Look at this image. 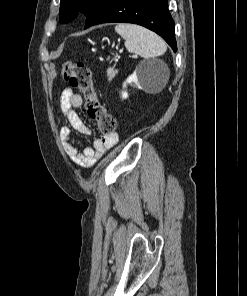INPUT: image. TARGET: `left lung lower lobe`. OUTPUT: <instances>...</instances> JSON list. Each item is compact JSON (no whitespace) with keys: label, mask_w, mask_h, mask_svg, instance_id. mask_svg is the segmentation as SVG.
<instances>
[{"label":"left lung lower lobe","mask_w":247,"mask_h":296,"mask_svg":"<svg viewBox=\"0 0 247 296\" xmlns=\"http://www.w3.org/2000/svg\"><path fill=\"white\" fill-rule=\"evenodd\" d=\"M168 0H104L87 17L85 29L101 23H134L157 34L177 50L175 25L168 10Z\"/></svg>","instance_id":"obj_1"}]
</instances>
